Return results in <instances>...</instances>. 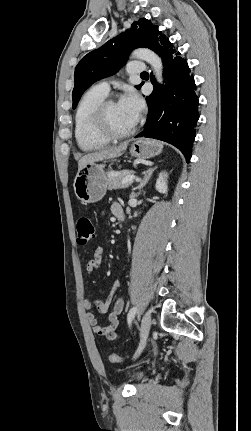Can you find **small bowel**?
<instances>
[{
    "label": "small bowel",
    "mask_w": 251,
    "mask_h": 431,
    "mask_svg": "<svg viewBox=\"0 0 251 431\" xmlns=\"http://www.w3.org/2000/svg\"><path fill=\"white\" fill-rule=\"evenodd\" d=\"M119 212H124L120 204L112 205V213L117 217ZM103 248L97 247L94 251L93 258L90 259L86 264V274L89 275L93 271L99 269L102 265L103 259ZM119 287V282L115 281L111 292L109 293L106 300L102 301L100 299H91L85 297L82 301L83 308L86 310V319L92 328V331L102 337L113 340L118 337L116 329L118 328L120 321L119 316L124 309V300L122 298H117L111 307L112 301L114 299V294ZM94 308L100 315H108V324L101 325L96 316Z\"/></svg>",
    "instance_id": "obj_1"
}]
</instances>
